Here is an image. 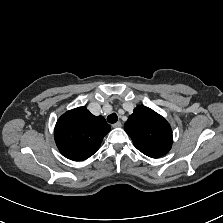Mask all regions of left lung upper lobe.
<instances>
[{
	"instance_id": "5c2ea615",
	"label": "left lung upper lobe",
	"mask_w": 223,
	"mask_h": 223,
	"mask_svg": "<svg viewBox=\"0 0 223 223\" xmlns=\"http://www.w3.org/2000/svg\"><path fill=\"white\" fill-rule=\"evenodd\" d=\"M124 129L134 146L149 157L159 158L171 149L172 130L169 123L148 107L137 106Z\"/></svg>"
}]
</instances>
